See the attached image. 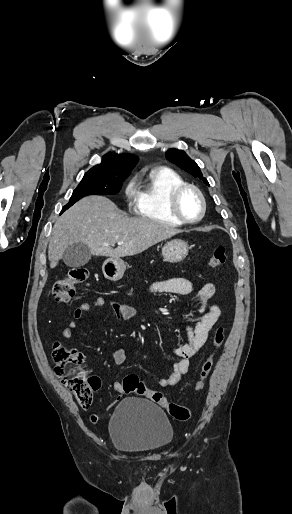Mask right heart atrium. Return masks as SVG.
<instances>
[{
  "label": "right heart atrium",
  "mask_w": 292,
  "mask_h": 514,
  "mask_svg": "<svg viewBox=\"0 0 292 514\" xmlns=\"http://www.w3.org/2000/svg\"><path fill=\"white\" fill-rule=\"evenodd\" d=\"M123 194L128 203H132L137 194V188L134 180H129L123 188Z\"/></svg>",
  "instance_id": "d8ad5b80"
}]
</instances>
